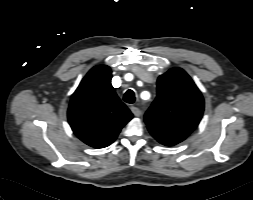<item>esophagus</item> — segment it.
<instances>
[{"mask_svg":"<svg viewBox=\"0 0 253 200\" xmlns=\"http://www.w3.org/2000/svg\"><path fill=\"white\" fill-rule=\"evenodd\" d=\"M130 109L135 116H141V110L138 107L132 106Z\"/></svg>","mask_w":253,"mask_h":200,"instance_id":"34e87169","label":"esophagus"}]
</instances>
